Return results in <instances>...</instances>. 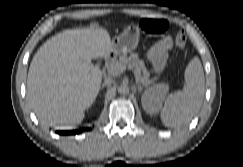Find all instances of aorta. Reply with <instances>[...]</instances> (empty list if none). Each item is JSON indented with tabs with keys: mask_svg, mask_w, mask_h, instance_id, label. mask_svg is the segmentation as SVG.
<instances>
[{
	"mask_svg": "<svg viewBox=\"0 0 243 167\" xmlns=\"http://www.w3.org/2000/svg\"><path fill=\"white\" fill-rule=\"evenodd\" d=\"M118 93L121 94V95H126L129 93V87L127 84H121L119 87H118Z\"/></svg>",
	"mask_w": 243,
	"mask_h": 167,
	"instance_id": "aorta-1",
	"label": "aorta"
}]
</instances>
